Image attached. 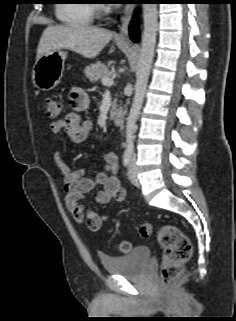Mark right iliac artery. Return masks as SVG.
Masks as SVG:
<instances>
[{"label":"right iliac artery","mask_w":236,"mask_h":321,"mask_svg":"<svg viewBox=\"0 0 236 321\" xmlns=\"http://www.w3.org/2000/svg\"><path fill=\"white\" fill-rule=\"evenodd\" d=\"M131 160V152H125L123 155V165L124 167H128Z\"/></svg>","instance_id":"82829eb1"}]
</instances>
